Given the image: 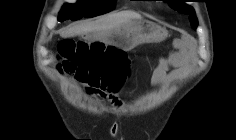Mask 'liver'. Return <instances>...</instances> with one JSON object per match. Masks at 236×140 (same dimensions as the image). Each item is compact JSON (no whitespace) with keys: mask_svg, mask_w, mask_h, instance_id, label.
Masks as SVG:
<instances>
[{"mask_svg":"<svg viewBox=\"0 0 236 140\" xmlns=\"http://www.w3.org/2000/svg\"><path fill=\"white\" fill-rule=\"evenodd\" d=\"M140 18L141 16L135 12L113 13L93 22H85L63 29L60 32V36L67 38L93 33L96 39L104 41L130 19Z\"/></svg>","mask_w":236,"mask_h":140,"instance_id":"obj_1","label":"liver"}]
</instances>
